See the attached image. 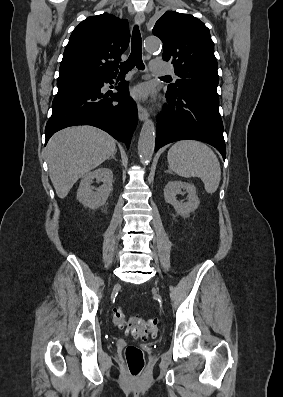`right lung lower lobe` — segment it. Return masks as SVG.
I'll use <instances>...</instances> for the list:
<instances>
[{"label": "right lung lower lobe", "instance_id": "right-lung-lower-lobe-1", "mask_svg": "<svg viewBox=\"0 0 283 397\" xmlns=\"http://www.w3.org/2000/svg\"><path fill=\"white\" fill-rule=\"evenodd\" d=\"M115 76L58 88L52 103V116L45 128L46 143L63 128L92 125L108 132L129 148L138 114L135 102L128 96V82L119 84L116 88L118 92L111 97L101 92L104 83H113Z\"/></svg>", "mask_w": 283, "mask_h": 397}]
</instances>
